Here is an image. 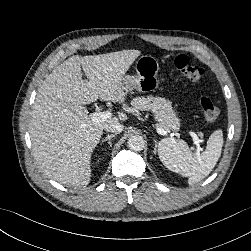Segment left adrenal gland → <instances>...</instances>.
Wrapping results in <instances>:
<instances>
[{
	"instance_id": "1",
	"label": "left adrenal gland",
	"mask_w": 251,
	"mask_h": 251,
	"mask_svg": "<svg viewBox=\"0 0 251 251\" xmlns=\"http://www.w3.org/2000/svg\"><path fill=\"white\" fill-rule=\"evenodd\" d=\"M155 141V148H154V153L156 154V147H157V142H156V140H154Z\"/></svg>"
}]
</instances>
